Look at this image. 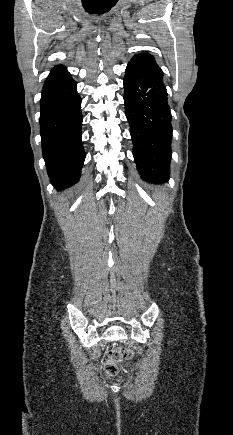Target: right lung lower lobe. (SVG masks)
Listing matches in <instances>:
<instances>
[{
  "instance_id": "right-lung-lower-lobe-1",
  "label": "right lung lower lobe",
  "mask_w": 233,
  "mask_h": 435,
  "mask_svg": "<svg viewBox=\"0 0 233 435\" xmlns=\"http://www.w3.org/2000/svg\"><path fill=\"white\" fill-rule=\"evenodd\" d=\"M40 134L48 176L58 189L75 184L85 159L81 141V98L69 73L44 84Z\"/></svg>"
}]
</instances>
